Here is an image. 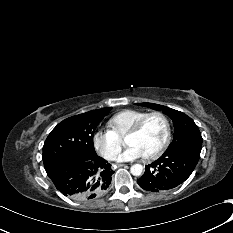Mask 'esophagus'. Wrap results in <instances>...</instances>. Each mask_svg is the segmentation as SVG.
<instances>
[{"label":"esophagus","instance_id":"1","mask_svg":"<svg viewBox=\"0 0 233 233\" xmlns=\"http://www.w3.org/2000/svg\"><path fill=\"white\" fill-rule=\"evenodd\" d=\"M118 165V167H123V166H125V164H122V163H119V164H117Z\"/></svg>","mask_w":233,"mask_h":233}]
</instances>
